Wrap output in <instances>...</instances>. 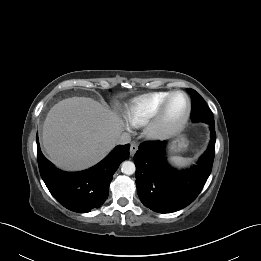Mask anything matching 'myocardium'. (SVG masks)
I'll return each instance as SVG.
<instances>
[{"label": "myocardium", "mask_w": 261, "mask_h": 261, "mask_svg": "<svg viewBox=\"0 0 261 261\" xmlns=\"http://www.w3.org/2000/svg\"><path fill=\"white\" fill-rule=\"evenodd\" d=\"M176 95H182L185 97L187 102L186 112L181 120L173 125H168L166 122V115L170 105L171 100ZM191 100L189 96L183 91H173L166 98L159 111L155 117L147 124L146 127V136L152 140H162L169 138L179 131H181L184 126L187 124L190 115H191Z\"/></svg>", "instance_id": "f54148a6"}]
</instances>
